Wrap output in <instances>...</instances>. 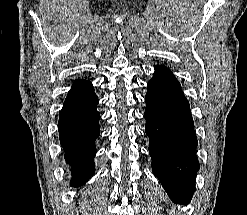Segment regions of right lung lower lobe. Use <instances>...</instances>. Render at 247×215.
I'll list each match as a JSON object with an SVG mask.
<instances>
[{"label":"right lung lower lobe","mask_w":247,"mask_h":215,"mask_svg":"<svg viewBox=\"0 0 247 215\" xmlns=\"http://www.w3.org/2000/svg\"><path fill=\"white\" fill-rule=\"evenodd\" d=\"M98 98L86 80L74 82L59 114V137L65 160L72 166V186L94 173L95 140L100 134Z\"/></svg>","instance_id":"1"}]
</instances>
